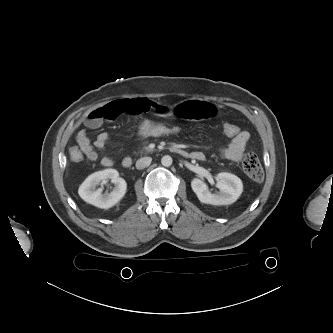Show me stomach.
Returning <instances> with one entry per match:
<instances>
[{
    "instance_id": "stomach-1",
    "label": "stomach",
    "mask_w": 333,
    "mask_h": 333,
    "mask_svg": "<svg viewBox=\"0 0 333 333\" xmlns=\"http://www.w3.org/2000/svg\"><path fill=\"white\" fill-rule=\"evenodd\" d=\"M172 111L170 115L175 116L179 120H198V119H213L219 115L220 108L216 102H191L180 103L175 107L171 106Z\"/></svg>"
}]
</instances>
